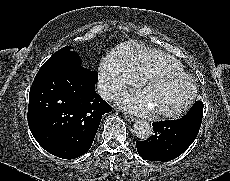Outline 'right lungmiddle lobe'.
Returning a JSON list of instances; mask_svg holds the SVG:
<instances>
[{"label":"right lung middle lobe","mask_w":230,"mask_h":181,"mask_svg":"<svg viewBox=\"0 0 230 181\" xmlns=\"http://www.w3.org/2000/svg\"><path fill=\"white\" fill-rule=\"evenodd\" d=\"M81 65L80 58L75 51L66 46L55 52L40 68L38 73L56 71L67 67Z\"/></svg>","instance_id":"1"}]
</instances>
